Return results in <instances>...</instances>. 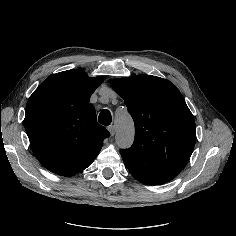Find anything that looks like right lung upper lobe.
<instances>
[{"mask_svg":"<svg viewBox=\"0 0 236 236\" xmlns=\"http://www.w3.org/2000/svg\"><path fill=\"white\" fill-rule=\"evenodd\" d=\"M102 81L81 70L63 71L47 78L30 96L25 130L34 154L51 172L70 177L83 171L110 136L89 103Z\"/></svg>","mask_w":236,"mask_h":236,"instance_id":"right-lung-upper-lobe-1","label":"right lung upper lobe"}]
</instances>
